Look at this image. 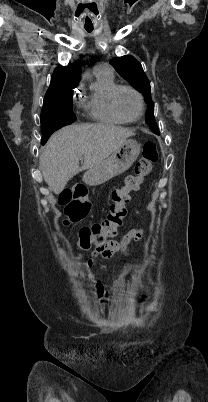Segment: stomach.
I'll use <instances>...</instances> for the list:
<instances>
[{
	"instance_id": "1",
	"label": "stomach",
	"mask_w": 208,
	"mask_h": 402,
	"mask_svg": "<svg viewBox=\"0 0 208 402\" xmlns=\"http://www.w3.org/2000/svg\"><path fill=\"white\" fill-rule=\"evenodd\" d=\"M140 152V144H137L135 140H126L104 162L85 172L83 182L88 184V186H100V184L108 182L114 176H119V174H123V172L129 170L135 160H137Z\"/></svg>"
}]
</instances>
